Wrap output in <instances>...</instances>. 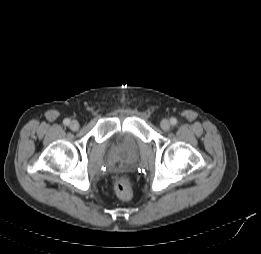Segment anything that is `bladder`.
I'll list each match as a JSON object with an SVG mask.
<instances>
[{"label": "bladder", "instance_id": "obj_1", "mask_svg": "<svg viewBox=\"0 0 261 254\" xmlns=\"http://www.w3.org/2000/svg\"><path fill=\"white\" fill-rule=\"evenodd\" d=\"M113 160L116 163H131L138 156V145L131 135L118 138L112 147Z\"/></svg>", "mask_w": 261, "mask_h": 254}]
</instances>
